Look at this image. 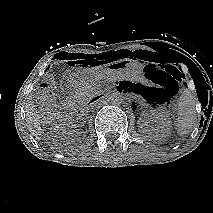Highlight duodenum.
<instances>
[{"instance_id":"duodenum-1","label":"duodenum","mask_w":213,"mask_h":213,"mask_svg":"<svg viewBox=\"0 0 213 213\" xmlns=\"http://www.w3.org/2000/svg\"><path fill=\"white\" fill-rule=\"evenodd\" d=\"M104 98H105L104 94H97L90 100L89 105L100 102ZM83 114H84V109L79 108L72 114V116L78 118V117L82 116Z\"/></svg>"}]
</instances>
